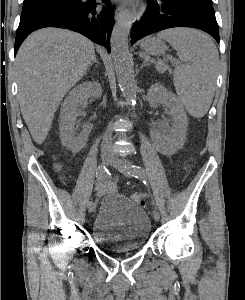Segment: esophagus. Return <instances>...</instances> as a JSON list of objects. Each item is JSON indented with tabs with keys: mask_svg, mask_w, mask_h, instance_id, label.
Instances as JSON below:
<instances>
[{
	"mask_svg": "<svg viewBox=\"0 0 245 300\" xmlns=\"http://www.w3.org/2000/svg\"><path fill=\"white\" fill-rule=\"evenodd\" d=\"M124 11L125 7L123 5H119L115 11V19L118 20Z\"/></svg>",
	"mask_w": 245,
	"mask_h": 300,
	"instance_id": "esophagus-1",
	"label": "esophagus"
}]
</instances>
